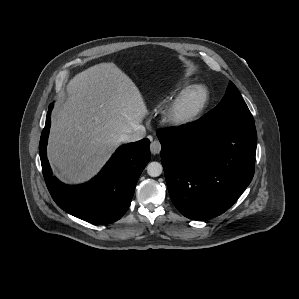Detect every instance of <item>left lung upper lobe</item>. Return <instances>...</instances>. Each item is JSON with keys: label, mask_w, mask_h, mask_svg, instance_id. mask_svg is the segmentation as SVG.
<instances>
[{"label": "left lung upper lobe", "mask_w": 299, "mask_h": 299, "mask_svg": "<svg viewBox=\"0 0 299 299\" xmlns=\"http://www.w3.org/2000/svg\"><path fill=\"white\" fill-rule=\"evenodd\" d=\"M200 120L213 126L254 124L251 112L231 81L221 102Z\"/></svg>", "instance_id": "5c2ea615"}]
</instances>
